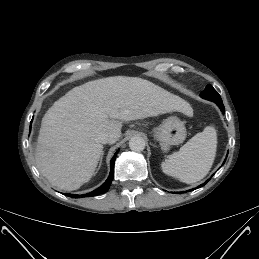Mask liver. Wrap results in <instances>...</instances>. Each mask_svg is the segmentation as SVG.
I'll list each match as a JSON object with an SVG mask.
<instances>
[{
	"label": "liver",
	"mask_w": 259,
	"mask_h": 259,
	"mask_svg": "<svg viewBox=\"0 0 259 259\" xmlns=\"http://www.w3.org/2000/svg\"><path fill=\"white\" fill-rule=\"evenodd\" d=\"M173 111L191 114L189 103L154 83L127 76L89 81L67 92L42 118L35 162L59 190L72 191L88 182L103 153L96 137L103 132L114 144L122 121Z\"/></svg>",
	"instance_id": "liver-1"
}]
</instances>
